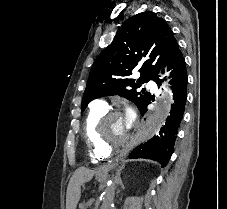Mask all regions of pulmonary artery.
Instances as JSON below:
<instances>
[{
	"mask_svg": "<svg viewBox=\"0 0 227 209\" xmlns=\"http://www.w3.org/2000/svg\"><path fill=\"white\" fill-rule=\"evenodd\" d=\"M88 105H98L99 107L105 108L107 103L104 100H88Z\"/></svg>",
	"mask_w": 227,
	"mask_h": 209,
	"instance_id": "obj_1",
	"label": "pulmonary artery"
}]
</instances>
